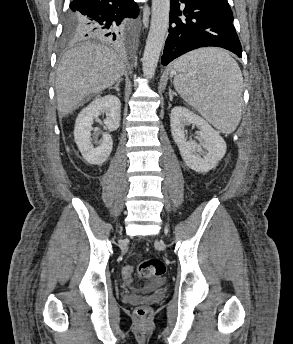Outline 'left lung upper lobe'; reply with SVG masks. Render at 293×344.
I'll list each match as a JSON object with an SVG mask.
<instances>
[{"label":"left lung upper lobe","mask_w":293,"mask_h":344,"mask_svg":"<svg viewBox=\"0 0 293 344\" xmlns=\"http://www.w3.org/2000/svg\"><path fill=\"white\" fill-rule=\"evenodd\" d=\"M223 1H225L226 3H228V1H227V0H223Z\"/></svg>","instance_id":"5c2ea615"}]
</instances>
